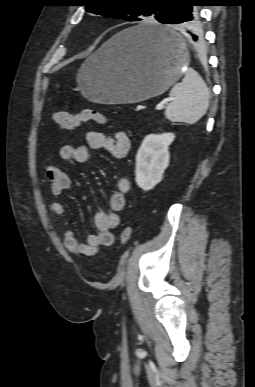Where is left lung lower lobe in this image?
<instances>
[{
  "label": "left lung lower lobe",
  "instance_id": "1",
  "mask_svg": "<svg viewBox=\"0 0 255 387\" xmlns=\"http://www.w3.org/2000/svg\"><path fill=\"white\" fill-rule=\"evenodd\" d=\"M201 5L204 4L200 0L176 2L173 4L170 15L164 24H182V26L188 27L187 32L193 37V40L198 42V44H202V36L196 29L199 20L196 6ZM140 35L156 43L165 44L170 42L169 35L161 30H145Z\"/></svg>",
  "mask_w": 255,
  "mask_h": 387
}]
</instances>
